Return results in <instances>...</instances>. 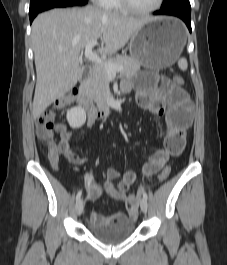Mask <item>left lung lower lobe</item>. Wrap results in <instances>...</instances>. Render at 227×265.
<instances>
[{
    "instance_id": "1",
    "label": "left lung lower lobe",
    "mask_w": 227,
    "mask_h": 265,
    "mask_svg": "<svg viewBox=\"0 0 227 265\" xmlns=\"http://www.w3.org/2000/svg\"><path fill=\"white\" fill-rule=\"evenodd\" d=\"M154 14L172 15V16L179 17L186 23L189 31L191 32V11H161L159 10V11L154 12Z\"/></svg>"
}]
</instances>
